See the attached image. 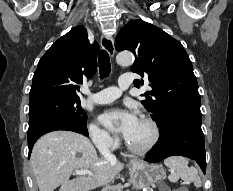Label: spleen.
<instances>
[{
  "label": "spleen",
  "mask_w": 233,
  "mask_h": 191,
  "mask_svg": "<svg viewBox=\"0 0 233 191\" xmlns=\"http://www.w3.org/2000/svg\"><path fill=\"white\" fill-rule=\"evenodd\" d=\"M164 164L170 170V175L168 176L170 182H177L181 178L184 181L193 182L197 188L202 186L197 169L195 167H188L187 159L180 156H173L167 158Z\"/></svg>",
  "instance_id": "spleen-1"
}]
</instances>
